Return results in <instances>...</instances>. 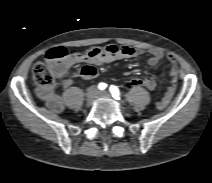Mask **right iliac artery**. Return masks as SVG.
I'll return each instance as SVG.
<instances>
[{
	"label": "right iliac artery",
	"mask_w": 212,
	"mask_h": 183,
	"mask_svg": "<svg viewBox=\"0 0 212 183\" xmlns=\"http://www.w3.org/2000/svg\"><path fill=\"white\" fill-rule=\"evenodd\" d=\"M106 87H107V84H105V83H103V82L99 83V85H98V88H99L100 90H104Z\"/></svg>",
	"instance_id": "82829eb1"
}]
</instances>
